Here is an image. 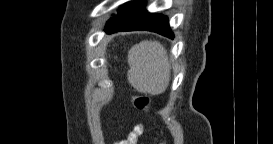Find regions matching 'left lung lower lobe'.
<instances>
[{
  "mask_svg": "<svg viewBox=\"0 0 273 144\" xmlns=\"http://www.w3.org/2000/svg\"><path fill=\"white\" fill-rule=\"evenodd\" d=\"M142 1L125 4L116 18L107 22L105 31L115 33L119 31L149 30L168 38H173L170 31L168 18L162 14H150L145 9Z\"/></svg>",
  "mask_w": 273,
  "mask_h": 144,
  "instance_id": "1",
  "label": "left lung lower lobe"
}]
</instances>
